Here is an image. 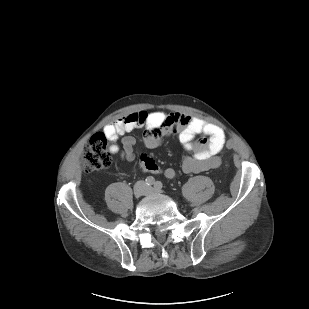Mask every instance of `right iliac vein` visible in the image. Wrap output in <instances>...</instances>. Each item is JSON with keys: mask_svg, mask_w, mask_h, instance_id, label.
<instances>
[{"mask_svg": "<svg viewBox=\"0 0 309 309\" xmlns=\"http://www.w3.org/2000/svg\"><path fill=\"white\" fill-rule=\"evenodd\" d=\"M144 192V186L142 184H138L134 189V195L136 198H139L141 195H143Z\"/></svg>", "mask_w": 309, "mask_h": 309, "instance_id": "1", "label": "right iliac vein"}]
</instances>
